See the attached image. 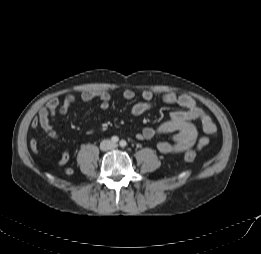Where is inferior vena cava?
I'll use <instances>...</instances> for the list:
<instances>
[{
  "instance_id": "1",
  "label": "inferior vena cava",
  "mask_w": 261,
  "mask_h": 254,
  "mask_svg": "<svg viewBox=\"0 0 261 254\" xmlns=\"http://www.w3.org/2000/svg\"><path fill=\"white\" fill-rule=\"evenodd\" d=\"M104 142H105L107 145H106V146L101 145V149H103V150H109V149H111V148L113 147V143H111L110 141L105 140V141H103V143H104Z\"/></svg>"
}]
</instances>
